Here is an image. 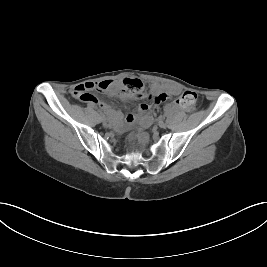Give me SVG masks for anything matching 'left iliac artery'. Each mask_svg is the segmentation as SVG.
I'll return each instance as SVG.
<instances>
[{
    "label": "left iliac artery",
    "mask_w": 267,
    "mask_h": 267,
    "mask_svg": "<svg viewBox=\"0 0 267 267\" xmlns=\"http://www.w3.org/2000/svg\"><path fill=\"white\" fill-rule=\"evenodd\" d=\"M162 120L165 121L166 123L170 122V118L169 117H166V118L164 117Z\"/></svg>",
    "instance_id": "1"
}]
</instances>
